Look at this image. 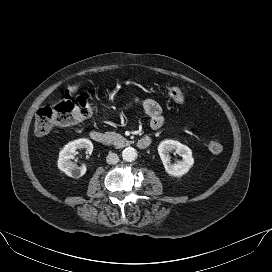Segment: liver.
Masks as SVG:
<instances>
[{"label":"liver","instance_id":"6515ba94","mask_svg":"<svg viewBox=\"0 0 272 272\" xmlns=\"http://www.w3.org/2000/svg\"><path fill=\"white\" fill-rule=\"evenodd\" d=\"M78 89V86H72L69 88V93H74Z\"/></svg>","mask_w":272,"mask_h":272}]
</instances>
